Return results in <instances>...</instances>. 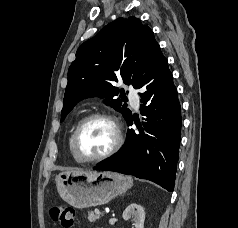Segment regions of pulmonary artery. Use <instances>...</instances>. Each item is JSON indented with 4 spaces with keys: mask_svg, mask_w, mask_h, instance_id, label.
<instances>
[{
    "mask_svg": "<svg viewBox=\"0 0 238 228\" xmlns=\"http://www.w3.org/2000/svg\"><path fill=\"white\" fill-rule=\"evenodd\" d=\"M130 96L134 106L137 108L139 99L136 95H134V91L132 89L130 90Z\"/></svg>",
    "mask_w": 238,
    "mask_h": 228,
    "instance_id": "1",
    "label": "pulmonary artery"
}]
</instances>
